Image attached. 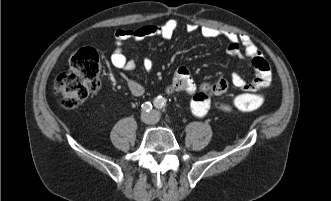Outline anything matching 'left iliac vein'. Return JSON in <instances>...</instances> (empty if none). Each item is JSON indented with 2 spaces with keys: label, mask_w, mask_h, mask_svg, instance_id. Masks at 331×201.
Listing matches in <instances>:
<instances>
[{
  "label": "left iliac vein",
  "mask_w": 331,
  "mask_h": 201,
  "mask_svg": "<svg viewBox=\"0 0 331 201\" xmlns=\"http://www.w3.org/2000/svg\"><path fill=\"white\" fill-rule=\"evenodd\" d=\"M153 114L155 115V117L159 116L157 112H153Z\"/></svg>",
  "instance_id": "left-iliac-vein-1"
}]
</instances>
